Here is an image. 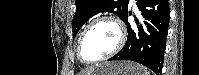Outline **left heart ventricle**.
<instances>
[{
	"mask_svg": "<svg viewBox=\"0 0 199 75\" xmlns=\"http://www.w3.org/2000/svg\"><path fill=\"white\" fill-rule=\"evenodd\" d=\"M117 43V30L107 22L94 25L85 36L81 55L87 61L96 60L110 52Z\"/></svg>",
	"mask_w": 199,
	"mask_h": 75,
	"instance_id": "b2bd125f",
	"label": "left heart ventricle"
}]
</instances>
